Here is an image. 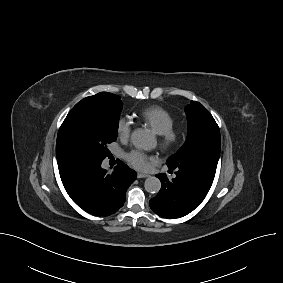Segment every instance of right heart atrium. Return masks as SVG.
I'll return each mask as SVG.
<instances>
[{
    "label": "right heart atrium",
    "mask_w": 283,
    "mask_h": 283,
    "mask_svg": "<svg viewBox=\"0 0 283 283\" xmlns=\"http://www.w3.org/2000/svg\"><path fill=\"white\" fill-rule=\"evenodd\" d=\"M132 131V120L127 117L123 116L119 118L117 122V134L118 137L122 140H127Z\"/></svg>",
    "instance_id": "1"
}]
</instances>
